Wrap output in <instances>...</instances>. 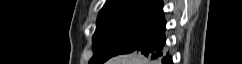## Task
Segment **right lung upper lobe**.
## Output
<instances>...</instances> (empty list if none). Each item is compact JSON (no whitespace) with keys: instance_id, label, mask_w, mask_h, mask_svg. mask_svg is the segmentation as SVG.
Returning <instances> with one entry per match:
<instances>
[{"instance_id":"cb5924a9","label":"right lung upper lobe","mask_w":242,"mask_h":64,"mask_svg":"<svg viewBox=\"0 0 242 64\" xmlns=\"http://www.w3.org/2000/svg\"><path fill=\"white\" fill-rule=\"evenodd\" d=\"M127 12H154L163 14V2L162 0H107L99 12L98 19L112 14Z\"/></svg>"}]
</instances>
